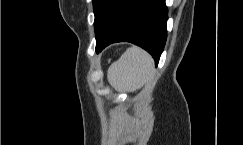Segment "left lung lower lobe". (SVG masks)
<instances>
[{
    "instance_id": "1",
    "label": "left lung lower lobe",
    "mask_w": 243,
    "mask_h": 145,
    "mask_svg": "<svg viewBox=\"0 0 243 145\" xmlns=\"http://www.w3.org/2000/svg\"><path fill=\"white\" fill-rule=\"evenodd\" d=\"M165 0H128L106 33L95 32L96 52L128 41L148 51L158 64L167 38Z\"/></svg>"
}]
</instances>
